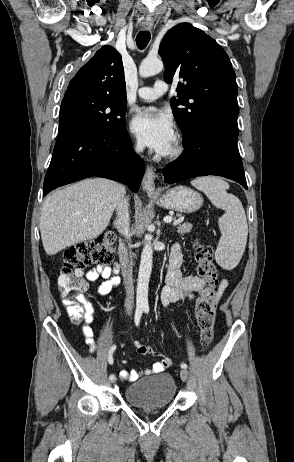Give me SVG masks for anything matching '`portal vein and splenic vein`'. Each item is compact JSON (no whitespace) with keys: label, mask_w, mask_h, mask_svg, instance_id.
<instances>
[{"label":"portal vein and splenic vein","mask_w":294,"mask_h":462,"mask_svg":"<svg viewBox=\"0 0 294 462\" xmlns=\"http://www.w3.org/2000/svg\"><path fill=\"white\" fill-rule=\"evenodd\" d=\"M172 221H173V218L170 217V216L164 218V222H165V223H171ZM179 222H180V220L175 221L174 224H177V223H179Z\"/></svg>","instance_id":"obj_1"}]
</instances>
